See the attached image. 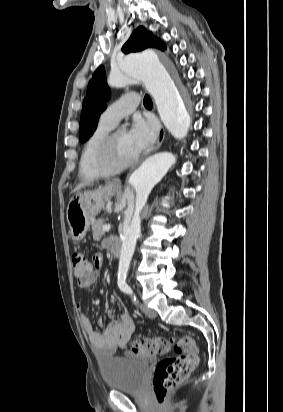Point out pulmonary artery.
I'll use <instances>...</instances> for the list:
<instances>
[{"label": "pulmonary artery", "instance_id": "e3ab8cb5", "mask_svg": "<svg viewBox=\"0 0 283 412\" xmlns=\"http://www.w3.org/2000/svg\"><path fill=\"white\" fill-rule=\"evenodd\" d=\"M137 94H125L112 102L101 114L100 122L115 127L118 122L131 114L139 105Z\"/></svg>", "mask_w": 283, "mask_h": 412}]
</instances>
